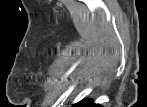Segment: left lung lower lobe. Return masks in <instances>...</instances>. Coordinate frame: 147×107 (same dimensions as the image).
Instances as JSON below:
<instances>
[{
    "instance_id": "left-lung-lower-lobe-1",
    "label": "left lung lower lobe",
    "mask_w": 147,
    "mask_h": 107,
    "mask_svg": "<svg viewBox=\"0 0 147 107\" xmlns=\"http://www.w3.org/2000/svg\"><path fill=\"white\" fill-rule=\"evenodd\" d=\"M72 107H101L99 104L94 103L91 99H83Z\"/></svg>"
}]
</instances>
